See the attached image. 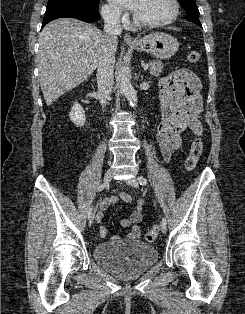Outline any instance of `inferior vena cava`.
I'll return each instance as SVG.
<instances>
[{"instance_id": "inferior-vena-cava-1", "label": "inferior vena cava", "mask_w": 245, "mask_h": 314, "mask_svg": "<svg viewBox=\"0 0 245 314\" xmlns=\"http://www.w3.org/2000/svg\"><path fill=\"white\" fill-rule=\"evenodd\" d=\"M120 11L110 10L104 14V31L109 44H113L119 35H121ZM114 63L115 57L112 49L109 48L102 56L97 67L98 95L102 107L106 105V99L109 97L114 84Z\"/></svg>"}]
</instances>
